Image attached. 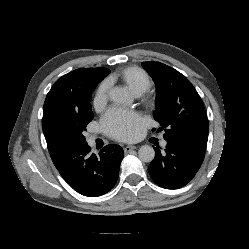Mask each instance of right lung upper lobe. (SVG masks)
<instances>
[{"instance_id":"obj_1","label":"right lung upper lobe","mask_w":249,"mask_h":249,"mask_svg":"<svg viewBox=\"0 0 249 249\" xmlns=\"http://www.w3.org/2000/svg\"><path fill=\"white\" fill-rule=\"evenodd\" d=\"M106 68H81L62 76L50 89L43 107V133L50 156L57 158L66 146L58 136L60 119L72 109H78L84 100L90 80L96 72Z\"/></svg>"}]
</instances>
